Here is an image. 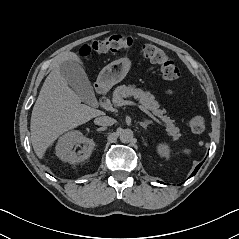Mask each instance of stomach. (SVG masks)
Wrapping results in <instances>:
<instances>
[{
  "mask_svg": "<svg viewBox=\"0 0 239 239\" xmlns=\"http://www.w3.org/2000/svg\"><path fill=\"white\" fill-rule=\"evenodd\" d=\"M130 67L131 61L128 58L115 60L101 70L97 82L102 88L109 89L125 78Z\"/></svg>",
  "mask_w": 239,
  "mask_h": 239,
  "instance_id": "0dacf381",
  "label": "stomach"
}]
</instances>
